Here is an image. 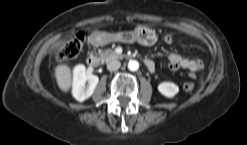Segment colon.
I'll use <instances>...</instances> for the list:
<instances>
[{
    "label": "colon",
    "mask_w": 247,
    "mask_h": 145,
    "mask_svg": "<svg viewBox=\"0 0 247 145\" xmlns=\"http://www.w3.org/2000/svg\"><path fill=\"white\" fill-rule=\"evenodd\" d=\"M176 39L174 34H167L164 37L166 43H172ZM84 34L79 32L74 36L68 37L63 40L56 52V59L58 62H65L76 58L83 46ZM195 88V84L192 81H187L183 84V89L186 92H191Z\"/></svg>",
    "instance_id": "1"
}]
</instances>
